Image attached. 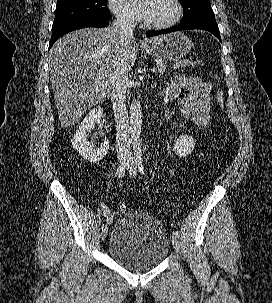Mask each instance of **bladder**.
<instances>
[{"instance_id": "bladder-1", "label": "bladder", "mask_w": 272, "mask_h": 303, "mask_svg": "<svg viewBox=\"0 0 272 303\" xmlns=\"http://www.w3.org/2000/svg\"><path fill=\"white\" fill-rule=\"evenodd\" d=\"M169 251L168 233L154 215L127 211L114 223L108 254L121 266L133 271L157 267Z\"/></svg>"}]
</instances>
